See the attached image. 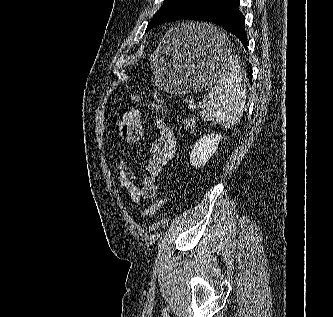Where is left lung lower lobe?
<instances>
[{
    "instance_id": "0a47b994",
    "label": "left lung lower lobe",
    "mask_w": 333,
    "mask_h": 317,
    "mask_svg": "<svg viewBox=\"0 0 333 317\" xmlns=\"http://www.w3.org/2000/svg\"><path fill=\"white\" fill-rule=\"evenodd\" d=\"M239 5V0H214L189 12L184 19L200 20L219 25L235 35L247 49L245 18Z\"/></svg>"
}]
</instances>
